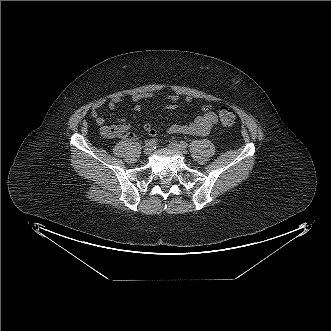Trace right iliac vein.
Instances as JSON below:
<instances>
[{
	"mask_svg": "<svg viewBox=\"0 0 331 331\" xmlns=\"http://www.w3.org/2000/svg\"><path fill=\"white\" fill-rule=\"evenodd\" d=\"M145 155H149L152 152V148L150 146H147L143 150Z\"/></svg>",
	"mask_w": 331,
	"mask_h": 331,
	"instance_id": "63e3f726",
	"label": "right iliac vein"
}]
</instances>
